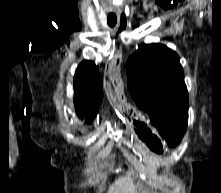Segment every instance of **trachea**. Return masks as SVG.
Returning <instances> with one entry per match:
<instances>
[{
  "label": "trachea",
  "mask_w": 221,
  "mask_h": 193,
  "mask_svg": "<svg viewBox=\"0 0 221 193\" xmlns=\"http://www.w3.org/2000/svg\"><path fill=\"white\" fill-rule=\"evenodd\" d=\"M107 23L110 27H114L117 23V16L115 14H109L107 16Z\"/></svg>",
  "instance_id": "3493384b"
}]
</instances>
